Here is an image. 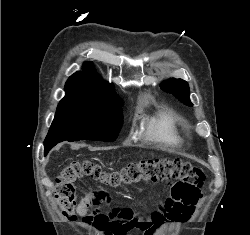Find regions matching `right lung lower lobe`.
<instances>
[{"instance_id": "98d812e1", "label": "right lung lower lobe", "mask_w": 250, "mask_h": 235, "mask_svg": "<svg viewBox=\"0 0 250 235\" xmlns=\"http://www.w3.org/2000/svg\"><path fill=\"white\" fill-rule=\"evenodd\" d=\"M57 143H52V144H44V148H45V151H44V154L46 155L50 149L55 146Z\"/></svg>"}]
</instances>
